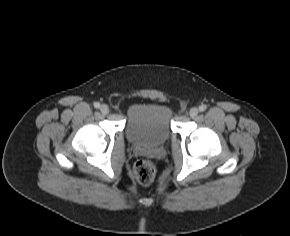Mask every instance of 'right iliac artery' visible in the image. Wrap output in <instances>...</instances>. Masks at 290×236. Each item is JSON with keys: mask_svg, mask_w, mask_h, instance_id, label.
Listing matches in <instances>:
<instances>
[{"mask_svg": "<svg viewBox=\"0 0 290 236\" xmlns=\"http://www.w3.org/2000/svg\"><path fill=\"white\" fill-rule=\"evenodd\" d=\"M94 107L95 108H99L100 107V103L99 102L94 103Z\"/></svg>", "mask_w": 290, "mask_h": 236, "instance_id": "right-iliac-artery-1", "label": "right iliac artery"}]
</instances>
